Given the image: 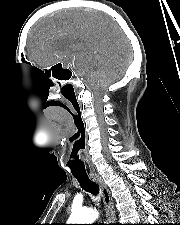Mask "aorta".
Masks as SVG:
<instances>
[{
	"mask_svg": "<svg viewBox=\"0 0 180 225\" xmlns=\"http://www.w3.org/2000/svg\"><path fill=\"white\" fill-rule=\"evenodd\" d=\"M98 218V212L93 208L72 210L68 224H93Z\"/></svg>",
	"mask_w": 180,
	"mask_h": 225,
	"instance_id": "762f6f07",
	"label": "aorta"
}]
</instances>
